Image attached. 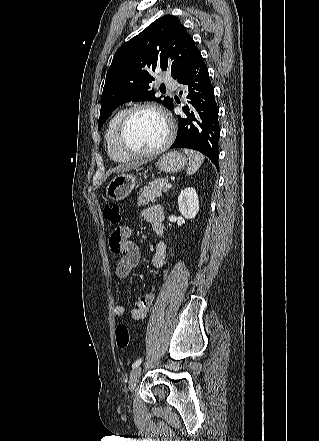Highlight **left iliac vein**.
Wrapping results in <instances>:
<instances>
[{
	"label": "left iliac vein",
	"instance_id": "left-iliac-vein-1",
	"mask_svg": "<svg viewBox=\"0 0 319 441\" xmlns=\"http://www.w3.org/2000/svg\"><path fill=\"white\" fill-rule=\"evenodd\" d=\"M141 374V367H136L132 370L129 378V390L133 391L139 381Z\"/></svg>",
	"mask_w": 319,
	"mask_h": 441
}]
</instances>
